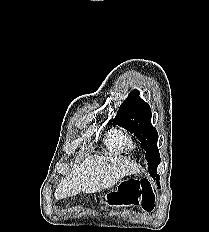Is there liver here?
Instances as JSON below:
<instances>
[{
	"label": "liver",
	"instance_id": "6515ba94",
	"mask_svg": "<svg viewBox=\"0 0 209 232\" xmlns=\"http://www.w3.org/2000/svg\"><path fill=\"white\" fill-rule=\"evenodd\" d=\"M138 172V165L125 158L88 156L61 180L55 198L61 200L81 191L86 194L101 192L116 185L123 177Z\"/></svg>",
	"mask_w": 209,
	"mask_h": 232
}]
</instances>
